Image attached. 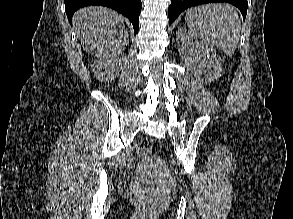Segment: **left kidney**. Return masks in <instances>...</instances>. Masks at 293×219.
I'll return each mask as SVG.
<instances>
[{"label": "left kidney", "mask_w": 293, "mask_h": 219, "mask_svg": "<svg viewBox=\"0 0 293 219\" xmlns=\"http://www.w3.org/2000/svg\"><path fill=\"white\" fill-rule=\"evenodd\" d=\"M176 41L179 54L188 66L197 65L196 73L202 81L211 83L220 77L221 57L213 46L195 37L185 28H178Z\"/></svg>", "instance_id": "left-kidney-1"}]
</instances>
